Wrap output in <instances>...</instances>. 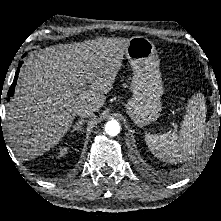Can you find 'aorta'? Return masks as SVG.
<instances>
[{
	"label": "aorta",
	"mask_w": 221,
	"mask_h": 221,
	"mask_svg": "<svg viewBox=\"0 0 221 221\" xmlns=\"http://www.w3.org/2000/svg\"><path fill=\"white\" fill-rule=\"evenodd\" d=\"M105 132L109 136H116L120 132V124L117 120H110L105 125Z\"/></svg>",
	"instance_id": "1"
}]
</instances>
